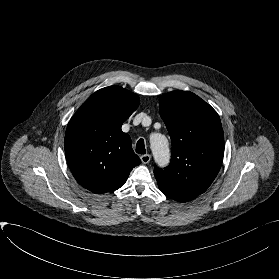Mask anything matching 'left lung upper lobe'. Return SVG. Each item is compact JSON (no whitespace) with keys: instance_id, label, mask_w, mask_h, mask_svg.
Returning <instances> with one entry per match:
<instances>
[{"instance_id":"5c2ea615","label":"left lung upper lobe","mask_w":279,"mask_h":279,"mask_svg":"<svg viewBox=\"0 0 279 279\" xmlns=\"http://www.w3.org/2000/svg\"><path fill=\"white\" fill-rule=\"evenodd\" d=\"M160 116L172 142L170 165L156 167L159 188L196 198L217 176L223 161L224 135L217 112L189 91H173L159 98Z\"/></svg>"}]
</instances>
